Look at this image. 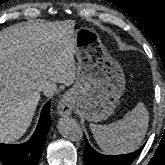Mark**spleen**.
<instances>
[{
    "mask_svg": "<svg viewBox=\"0 0 165 165\" xmlns=\"http://www.w3.org/2000/svg\"><path fill=\"white\" fill-rule=\"evenodd\" d=\"M148 126V112L137 104L124 118L108 125L90 124L92 133L105 153H126L138 147Z\"/></svg>",
    "mask_w": 165,
    "mask_h": 165,
    "instance_id": "obj_1",
    "label": "spleen"
}]
</instances>
